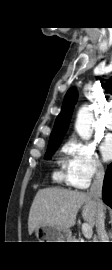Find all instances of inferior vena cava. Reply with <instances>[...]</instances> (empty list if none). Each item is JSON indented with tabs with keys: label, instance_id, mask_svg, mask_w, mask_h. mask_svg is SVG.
Listing matches in <instances>:
<instances>
[{
	"label": "inferior vena cava",
	"instance_id": "obj_1",
	"mask_svg": "<svg viewBox=\"0 0 112 270\" xmlns=\"http://www.w3.org/2000/svg\"><path fill=\"white\" fill-rule=\"evenodd\" d=\"M103 180L104 169L101 165H97L95 178L91 185L89 194L93 197L97 207L95 226L99 242H108V236L104 227V206L101 200Z\"/></svg>",
	"mask_w": 112,
	"mask_h": 270
}]
</instances>
